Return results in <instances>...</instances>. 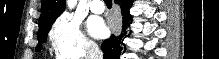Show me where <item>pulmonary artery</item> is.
<instances>
[{
  "label": "pulmonary artery",
  "instance_id": "pulmonary-artery-1",
  "mask_svg": "<svg viewBox=\"0 0 219 59\" xmlns=\"http://www.w3.org/2000/svg\"><path fill=\"white\" fill-rule=\"evenodd\" d=\"M91 11L96 14H101L105 11V6L101 0H93L89 5Z\"/></svg>",
  "mask_w": 219,
  "mask_h": 59
}]
</instances>
